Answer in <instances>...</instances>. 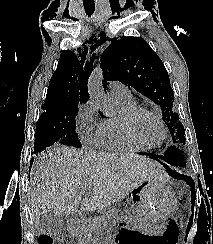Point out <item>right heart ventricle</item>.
Wrapping results in <instances>:
<instances>
[{
	"mask_svg": "<svg viewBox=\"0 0 213 244\" xmlns=\"http://www.w3.org/2000/svg\"><path fill=\"white\" fill-rule=\"evenodd\" d=\"M115 100L119 104L121 112L127 109L135 108L137 106L133 98L130 100ZM119 116L106 118L103 121H101L97 133L96 145L105 150L114 152L144 151L145 148L133 143L125 136L119 123Z\"/></svg>",
	"mask_w": 213,
	"mask_h": 244,
	"instance_id": "obj_1",
	"label": "right heart ventricle"
}]
</instances>
